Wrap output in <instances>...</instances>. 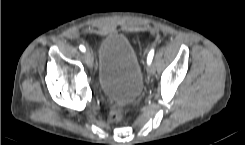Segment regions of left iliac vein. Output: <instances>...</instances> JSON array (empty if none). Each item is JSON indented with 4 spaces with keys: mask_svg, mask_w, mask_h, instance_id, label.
<instances>
[{
    "mask_svg": "<svg viewBox=\"0 0 245 145\" xmlns=\"http://www.w3.org/2000/svg\"><path fill=\"white\" fill-rule=\"evenodd\" d=\"M147 72H148L150 75H154V74H155V67H154V65L148 64V65H147Z\"/></svg>",
    "mask_w": 245,
    "mask_h": 145,
    "instance_id": "4c4485c4",
    "label": "left iliac vein"
}]
</instances>
